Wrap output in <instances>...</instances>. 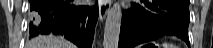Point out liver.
Here are the masks:
<instances>
[{
    "label": "liver",
    "mask_w": 213,
    "mask_h": 48,
    "mask_svg": "<svg viewBox=\"0 0 213 48\" xmlns=\"http://www.w3.org/2000/svg\"><path fill=\"white\" fill-rule=\"evenodd\" d=\"M26 46L27 48H76L74 44L63 37L52 35L34 38Z\"/></svg>",
    "instance_id": "6515ba94"
}]
</instances>
